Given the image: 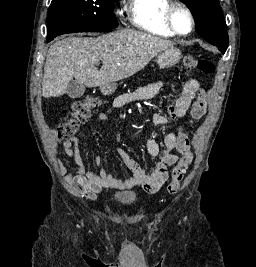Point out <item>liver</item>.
<instances>
[{"mask_svg": "<svg viewBox=\"0 0 256 267\" xmlns=\"http://www.w3.org/2000/svg\"><path fill=\"white\" fill-rule=\"evenodd\" d=\"M165 46H174V42L136 30H118L99 38L72 36L60 40L47 52L42 96H63L73 78L88 88L129 78L147 66ZM99 60L103 66L97 70L95 64Z\"/></svg>", "mask_w": 256, "mask_h": 267, "instance_id": "liver-1", "label": "liver"}]
</instances>
